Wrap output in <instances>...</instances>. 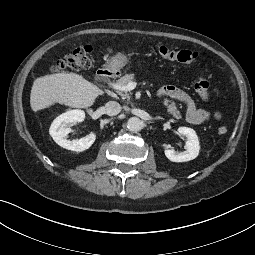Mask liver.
<instances>
[{
  "instance_id": "liver-1",
  "label": "liver",
  "mask_w": 255,
  "mask_h": 255,
  "mask_svg": "<svg viewBox=\"0 0 255 255\" xmlns=\"http://www.w3.org/2000/svg\"><path fill=\"white\" fill-rule=\"evenodd\" d=\"M104 91L73 72H58L34 80L30 93V106L37 112L59 103L72 108L92 106Z\"/></svg>"
}]
</instances>
